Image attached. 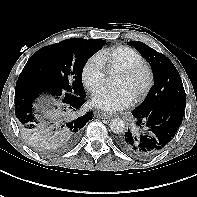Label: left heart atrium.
<instances>
[{
    "mask_svg": "<svg viewBox=\"0 0 197 197\" xmlns=\"http://www.w3.org/2000/svg\"><path fill=\"white\" fill-rule=\"evenodd\" d=\"M134 95L126 87L102 88L96 92L92 103L105 111H118L132 104Z\"/></svg>",
    "mask_w": 197,
    "mask_h": 197,
    "instance_id": "39dd6f15",
    "label": "left heart atrium"
}]
</instances>
